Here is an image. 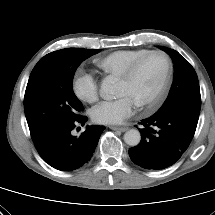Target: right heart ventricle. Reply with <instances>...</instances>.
I'll list each match as a JSON object with an SVG mask.
<instances>
[{
	"instance_id": "1",
	"label": "right heart ventricle",
	"mask_w": 215,
	"mask_h": 215,
	"mask_svg": "<svg viewBox=\"0 0 215 215\" xmlns=\"http://www.w3.org/2000/svg\"><path fill=\"white\" fill-rule=\"evenodd\" d=\"M147 49H126L109 53L96 60L97 66L106 74L120 77L126 68Z\"/></svg>"
}]
</instances>
